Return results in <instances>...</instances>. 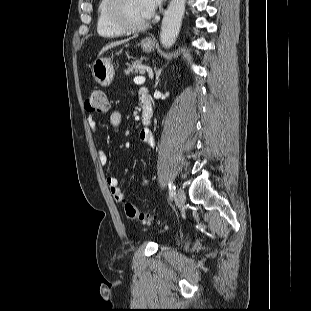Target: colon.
I'll return each instance as SVG.
<instances>
[{"mask_svg":"<svg viewBox=\"0 0 311 311\" xmlns=\"http://www.w3.org/2000/svg\"><path fill=\"white\" fill-rule=\"evenodd\" d=\"M85 108L92 113H105L109 108L107 94L102 88H94L86 100ZM123 207L128 218L143 224H150L152 218L149 214L140 211L133 203L124 201Z\"/></svg>","mask_w":311,"mask_h":311,"instance_id":"obj_1","label":"colon"}]
</instances>
